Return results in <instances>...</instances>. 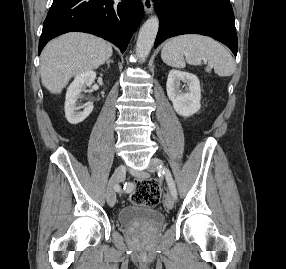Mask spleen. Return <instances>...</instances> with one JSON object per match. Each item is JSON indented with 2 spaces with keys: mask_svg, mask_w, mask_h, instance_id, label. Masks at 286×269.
<instances>
[{
  "mask_svg": "<svg viewBox=\"0 0 286 269\" xmlns=\"http://www.w3.org/2000/svg\"><path fill=\"white\" fill-rule=\"evenodd\" d=\"M161 58L175 68H184L186 63L201 65L202 60H207L206 71L213 68L219 76H230L235 70L229 51L214 39L202 35H181L169 39L161 51Z\"/></svg>",
  "mask_w": 286,
  "mask_h": 269,
  "instance_id": "3e777b00",
  "label": "spleen"
}]
</instances>
